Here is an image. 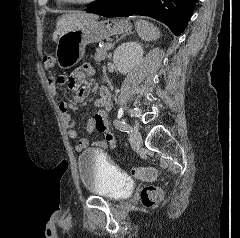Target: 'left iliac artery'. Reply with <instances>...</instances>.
<instances>
[{
    "mask_svg": "<svg viewBox=\"0 0 240 238\" xmlns=\"http://www.w3.org/2000/svg\"><path fill=\"white\" fill-rule=\"evenodd\" d=\"M114 124H116V127L121 131L129 132L132 129L127 123L122 121H115Z\"/></svg>",
    "mask_w": 240,
    "mask_h": 238,
    "instance_id": "44dca946",
    "label": "left iliac artery"
}]
</instances>
